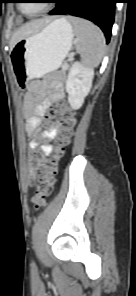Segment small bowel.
<instances>
[{
  "mask_svg": "<svg viewBox=\"0 0 136 296\" xmlns=\"http://www.w3.org/2000/svg\"><path fill=\"white\" fill-rule=\"evenodd\" d=\"M32 93H29L25 97L24 114L26 119L25 130L27 135L32 139L29 144V148L33 149L38 147L35 138L41 132L43 123L42 116L47 106L52 102H60L65 97V90L62 84H55L52 86L49 95L41 103L34 105L36 101L37 86H32ZM59 126L57 123H50L44 133L41 135V139H54L57 136ZM39 149L45 154H49L52 151L51 146L42 145Z\"/></svg>",
  "mask_w": 136,
  "mask_h": 296,
  "instance_id": "obj_1",
  "label": "small bowel"
}]
</instances>
